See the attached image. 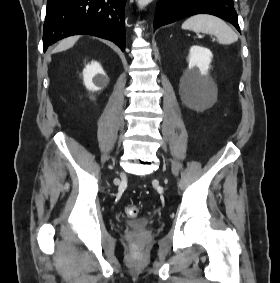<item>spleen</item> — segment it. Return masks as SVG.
<instances>
[{"mask_svg":"<svg viewBox=\"0 0 280 283\" xmlns=\"http://www.w3.org/2000/svg\"><path fill=\"white\" fill-rule=\"evenodd\" d=\"M182 29L206 33L217 38L219 44L229 45L238 40V35L233 29L218 17L198 14L189 17L182 24Z\"/></svg>","mask_w":280,"mask_h":283,"instance_id":"3e777b00","label":"spleen"}]
</instances>
